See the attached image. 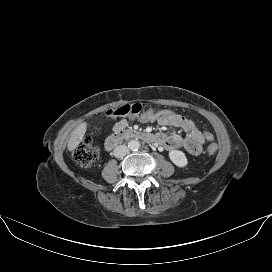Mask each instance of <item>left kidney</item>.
Here are the masks:
<instances>
[{
  "label": "left kidney",
  "mask_w": 272,
  "mask_h": 272,
  "mask_svg": "<svg viewBox=\"0 0 272 272\" xmlns=\"http://www.w3.org/2000/svg\"><path fill=\"white\" fill-rule=\"evenodd\" d=\"M169 158L178 167H185L188 163L185 154L180 150H171Z\"/></svg>",
  "instance_id": "obj_1"
}]
</instances>
